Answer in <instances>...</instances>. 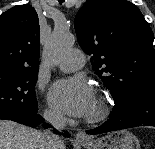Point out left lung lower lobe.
Segmentation results:
<instances>
[{"label":"left lung lower lobe","instance_id":"1","mask_svg":"<svg viewBox=\"0 0 155 149\" xmlns=\"http://www.w3.org/2000/svg\"><path fill=\"white\" fill-rule=\"evenodd\" d=\"M141 125L155 126V85L139 86L115 100L109 119L86 133L95 135Z\"/></svg>","mask_w":155,"mask_h":149}]
</instances>
